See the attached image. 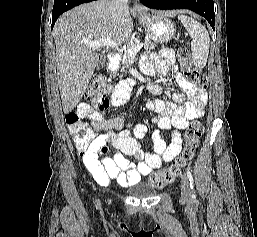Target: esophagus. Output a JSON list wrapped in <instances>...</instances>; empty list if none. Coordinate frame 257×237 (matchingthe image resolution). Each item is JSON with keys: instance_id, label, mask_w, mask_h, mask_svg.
Listing matches in <instances>:
<instances>
[{"instance_id": "esophagus-1", "label": "esophagus", "mask_w": 257, "mask_h": 237, "mask_svg": "<svg viewBox=\"0 0 257 237\" xmlns=\"http://www.w3.org/2000/svg\"><path fill=\"white\" fill-rule=\"evenodd\" d=\"M133 11L135 12H143L144 11V7L142 5H140L139 3H135L133 6Z\"/></svg>"}]
</instances>
